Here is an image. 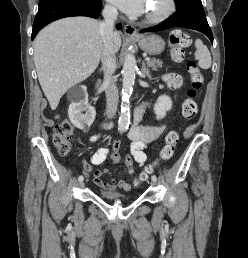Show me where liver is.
I'll return each instance as SVG.
<instances>
[{
  "instance_id": "6515ba94",
  "label": "liver",
  "mask_w": 248,
  "mask_h": 258,
  "mask_svg": "<svg viewBox=\"0 0 248 258\" xmlns=\"http://www.w3.org/2000/svg\"><path fill=\"white\" fill-rule=\"evenodd\" d=\"M115 52L121 46L113 34ZM102 51L100 22L88 17H68L42 29L34 45V64L41 88L55 110L61 97L87 79L98 67Z\"/></svg>"
}]
</instances>
